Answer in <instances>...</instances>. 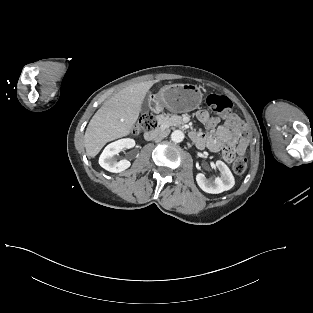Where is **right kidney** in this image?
<instances>
[{
    "label": "right kidney",
    "instance_id": "ca27d5eb",
    "mask_svg": "<svg viewBox=\"0 0 313 313\" xmlns=\"http://www.w3.org/2000/svg\"><path fill=\"white\" fill-rule=\"evenodd\" d=\"M135 146V140L124 138L110 143L105 147L99 157V164L109 172L119 173L129 168L131 163L128 160L117 161L115 156L124 148L130 149Z\"/></svg>",
    "mask_w": 313,
    "mask_h": 313
}]
</instances>
